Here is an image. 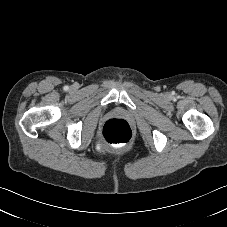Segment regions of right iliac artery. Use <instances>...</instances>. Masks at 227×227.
Segmentation results:
<instances>
[{"label":"right iliac artery","instance_id":"right-iliac-artery-1","mask_svg":"<svg viewBox=\"0 0 227 227\" xmlns=\"http://www.w3.org/2000/svg\"><path fill=\"white\" fill-rule=\"evenodd\" d=\"M68 89H69V87H68V86H65V87H64V90H66V91H67Z\"/></svg>","mask_w":227,"mask_h":227}]
</instances>
